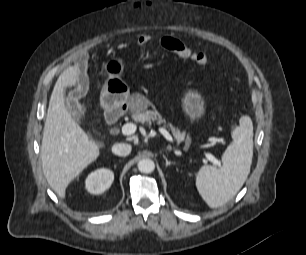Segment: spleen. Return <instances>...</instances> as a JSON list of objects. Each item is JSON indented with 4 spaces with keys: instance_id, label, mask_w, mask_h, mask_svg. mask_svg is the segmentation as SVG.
Segmentation results:
<instances>
[{
    "instance_id": "1",
    "label": "spleen",
    "mask_w": 306,
    "mask_h": 255,
    "mask_svg": "<svg viewBox=\"0 0 306 255\" xmlns=\"http://www.w3.org/2000/svg\"><path fill=\"white\" fill-rule=\"evenodd\" d=\"M234 143L222 156L220 169L205 165L196 175V187L210 208H218L230 201L241 189L250 173L253 157V123L242 116L232 132Z\"/></svg>"
}]
</instances>
